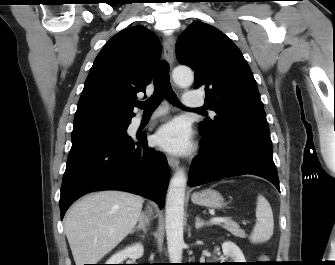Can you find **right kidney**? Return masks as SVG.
Segmentation results:
<instances>
[{"label": "right kidney", "instance_id": "1", "mask_svg": "<svg viewBox=\"0 0 335 265\" xmlns=\"http://www.w3.org/2000/svg\"><path fill=\"white\" fill-rule=\"evenodd\" d=\"M144 247L141 243H135L120 252L114 254L106 264H121L127 258L138 259L143 256Z\"/></svg>", "mask_w": 335, "mask_h": 265}]
</instances>
